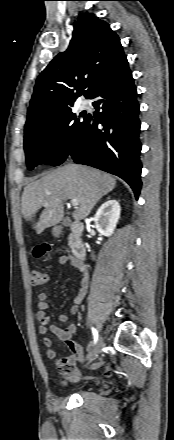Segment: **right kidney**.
I'll return each mask as SVG.
<instances>
[{
  "label": "right kidney",
  "instance_id": "1",
  "mask_svg": "<svg viewBox=\"0 0 174 440\" xmlns=\"http://www.w3.org/2000/svg\"><path fill=\"white\" fill-rule=\"evenodd\" d=\"M120 204L116 200H108L98 209L94 223L98 232L106 237L113 234L120 218Z\"/></svg>",
  "mask_w": 174,
  "mask_h": 440
}]
</instances>
